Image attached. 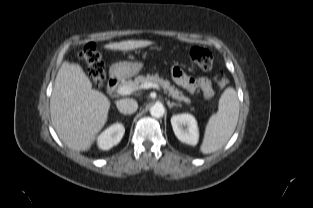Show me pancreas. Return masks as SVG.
Instances as JSON below:
<instances>
[{
  "instance_id": "1",
  "label": "pancreas",
  "mask_w": 313,
  "mask_h": 208,
  "mask_svg": "<svg viewBox=\"0 0 313 208\" xmlns=\"http://www.w3.org/2000/svg\"><path fill=\"white\" fill-rule=\"evenodd\" d=\"M147 82L156 83L160 85L165 93H168L173 99L178 101H184L187 104L191 103V100L188 97H185L181 91L175 89L174 86L170 85L168 80H164L160 78L158 75H147L146 77L143 75L137 76L134 80L122 81L120 86H130L133 91H137L141 89V85Z\"/></svg>"
}]
</instances>
